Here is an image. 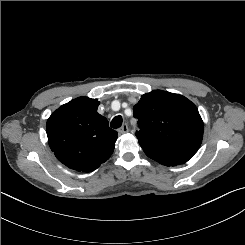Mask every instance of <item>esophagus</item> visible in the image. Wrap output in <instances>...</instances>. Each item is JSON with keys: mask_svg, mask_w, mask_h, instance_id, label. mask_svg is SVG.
Returning <instances> with one entry per match:
<instances>
[{"mask_svg": "<svg viewBox=\"0 0 245 245\" xmlns=\"http://www.w3.org/2000/svg\"><path fill=\"white\" fill-rule=\"evenodd\" d=\"M128 132V125L127 124H123L119 129H118V133L119 134H124Z\"/></svg>", "mask_w": 245, "mask_h": 245, "instance_id": "esophagus-1", "label": "esophagus"}]
</instances>
